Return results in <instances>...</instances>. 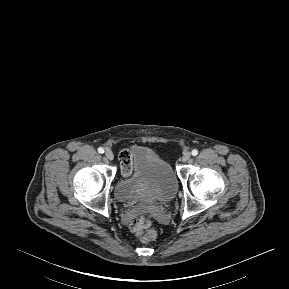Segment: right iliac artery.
<instances>
[{
  "mask_svg": "<svg viewBox=\"0 0 289 289\" xmlns=\"http://www.w3.org/2000/svg\"><path fill=\"white\" fill-rule=\"evenodd\" d=\"M98 152H99L100 154H103V153H104V149H103L102 147H100V148H98Z\"/></svg>",
  "mask_w": 289,
  "mask_h": 289,
  "instance_id": "82829eb1",
  "label": "right iliac artery"
}]
</instances>
